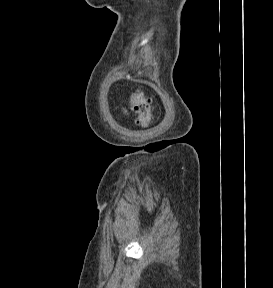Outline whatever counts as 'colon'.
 Listing matches in <instances>:
<instances>
[{"label":"colon","mask_w":273,"mask_h":288,"mask_svg":"<svg viewBox=\"0 0 273 288\" xmlns=\"http://www.w3.org/2000/svg\"><path fill=\"white\" fill-rule=\"evenodd\" d=\"M133 112L137 116V123L141 127H147L152 119V108L150 100L141 92H133L130 96Z\"/></svg>","instance_id":"colon-1"}]
</instances>
